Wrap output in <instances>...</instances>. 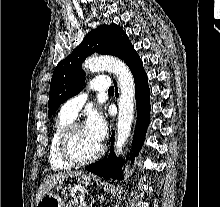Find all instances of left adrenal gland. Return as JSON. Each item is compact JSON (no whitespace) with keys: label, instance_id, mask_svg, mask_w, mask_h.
<instances>
[{"label":"left adrenal gland","instance_id":"obj_1","mask_svg":"<svg viewBox=\"0 0 220 207\" xmlns=\"http://www.w3.org/2000/svg\"><path fill=\"white\" fill-rule=\"evenodd\" d=\"M94 202H95V199H94V197L91 196V203H90L89 207H92Z\"/></svg>","mask_w":220,"mask_h":207}]
</instances>
